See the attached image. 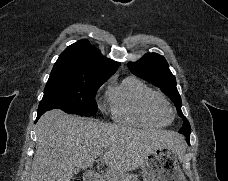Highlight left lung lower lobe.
<instances>
[{
	"label": "left lung lower lobe",
	"instance_id": "obj_1",
	"mask_svg": "<svg viewBox=\"0 0 228 181\" xmlns=\"http://www.w3.org/2000/svg\"><path fill=\"white\" fill-rule=\"evenodd\" d=\"M189 138H190V135H189V136H186V140H187V142H189Z\"/></svg>",
	"mask_w": 228,
	"mask_h": 181
}]
</instances>
